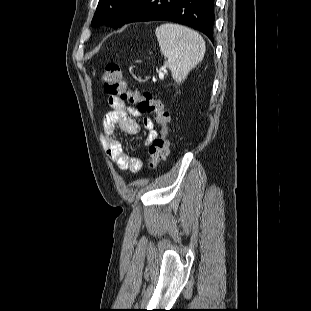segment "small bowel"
Wrapping results in <instances>:
<instances>
[{"mask_svg": "<svg viewBox=\"0 0 311 311\" xmlns=\"http://www.w3.org/2000/svg\"><path fill=\"white\" fill-rule=\"evenodd\" d=\"M111 110L103 119V142L108 156L121 170L138 172L142 169L143 162L138 157H133L124 151L121 142L116 137L117 128L128 134H137L140 125L137 118L141 113L125 101L117 98H108ZM143 125L146 129L145 144H150L158 135L154 120L149 116H143Z\"/></svg>", "mask_w": 311, "mask_h": 311, "instance_id": "1", "label": "small bowel"}]
</instances>
